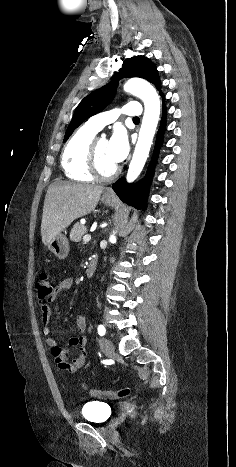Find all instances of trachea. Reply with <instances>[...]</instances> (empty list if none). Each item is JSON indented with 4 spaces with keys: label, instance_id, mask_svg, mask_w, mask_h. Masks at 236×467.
Instances as JSON below:
<instances>
[{
    "label": "trachea",
    "instance_id": "trachea-1",
    "mask_svg": "<svg viewBox=\"0 0 236 467\" xmlns=\"http://www.w3.org/2000/svg\"><path fill=\"white\" fill-rule=\"evenodd\" d=\"M133 121H140L139 117H134Z\"/></svg>",
    "mask_w": 236,
    "mask_h": 467
}]
</instances>
